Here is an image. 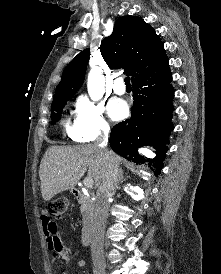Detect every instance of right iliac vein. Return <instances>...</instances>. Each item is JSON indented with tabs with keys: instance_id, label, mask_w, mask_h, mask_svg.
<instances>
[{
	"instance_id": "obj_1",
	"label": "right iliac vein",
	"mask_w": 221,
	"mask_h": 274,
	"mask_svg": "<svg viewBox=\"0 0 221 274\" xmlns=\"http://www.w3.org/2000/svg\"><path fill=\"white\" fill-rule=\"evenodd\" d=\"M97 274H106L104 267H98L97 268Z\"/></svg>"
}]
</instances>
